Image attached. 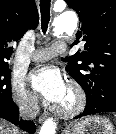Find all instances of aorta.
<instances>
[{"mask_svg":"<svg viewBox=\"0 0 116 134\" xmlns=\"http://www.w3.org/2000/svg\"><path fill=\"white\" fill-rule=\"evenodd\" d=\"M77 25V16L72 11H65L57 17L53 23V35L63 34L68 29H74ZM56 123L48 118L42 125L39 134H55Z\"/></svg>","mask_w":116,"mask_h":134,"instance_id":"1","label":"aorta"}]
</instances>
